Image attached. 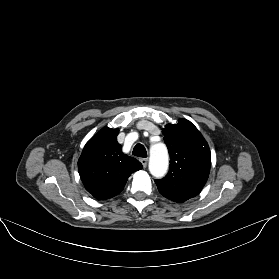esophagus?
I'll list each match as a JSON object with an SVG mask.
<instances>
[{
    "label": "esophagus",
    "mask_w": 279,
    "mask_h": 279,
    "mask_svg": "<svg viewBox=\"0 0 279 279\" xmlns=\"http://www.w3.org/2000/svg\"><path fill=\"white\" fill-rule=\"evenodd\" d=\"M140 162L142 163L143 167L146 168L148 164V159L147 158H141Z\"/></svg>",
    "instance_id": "obj_1"
}]
</instances>
